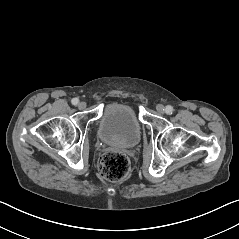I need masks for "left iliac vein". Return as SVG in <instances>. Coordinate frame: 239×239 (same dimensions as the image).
Masks as SVG:
<instances>
[{
  "mask_svg": "<svg viewBox=\"0 0 239 239\" xmlns=\"http://www.w3.org/2000/svg\"><path fill=\"white\" fill-rule=\"evenodd\" d=\"M156 110L160 113L163 114L165 112V107L162 104H158L156 106Z\"/></svg>",
  "mask_w": 239,
  "mask_h": 239,
  "instance_id": "1",
  "label": "left iliac vein"
}]
</instances>
